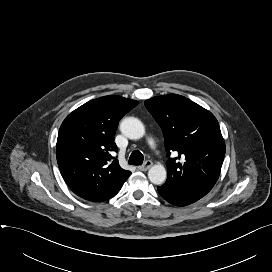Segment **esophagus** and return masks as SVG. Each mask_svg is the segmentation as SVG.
Here are the masks:
<instances>
[{"label":"esophagus","mask_w":272,"mask_h":272,"mask_svg":"<svg viewBox=\"0 0 272 272\" xmlns=\"http://www.w3.org/2000/svg\"><path fill=\"white\" fill-rule=\"evenodd\" d=\"M152 166V162L150 160H147L143 165L139 166L138 169L140 171H147Z\"/></svg>","instance_id":"obj_1"}]
</instances>
